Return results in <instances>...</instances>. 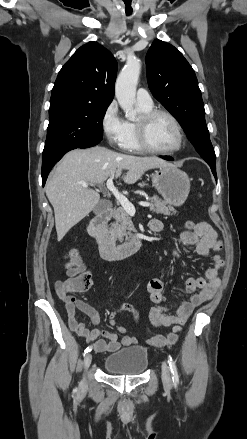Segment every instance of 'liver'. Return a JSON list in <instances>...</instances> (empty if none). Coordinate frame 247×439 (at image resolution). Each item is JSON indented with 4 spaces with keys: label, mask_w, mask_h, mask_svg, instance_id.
<instances>
[{
    "label": "liver",
    "mask_w": 247,
    "mask_h": 439,
    "mask_svg": "<svg viewBox=\"0 0 247 439\" xmlns=\"http://www.w3.org/2000/svg\"><path fill=\"white\" fill-rule=\"evenodd\" d=\"M173 164L157 157H139L114 152L105 147L75 149L58 163L46 183V195L54 208L58 241L99 203L100 195L83 187L118 178L127 171V184L138 181L145 171Z\"/></svg>",
    "instance_id": "1"
}]
</instances>
